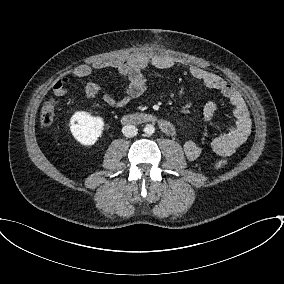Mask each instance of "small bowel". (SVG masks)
Segmentation results:
<instances>
[{"label":"small bowel","instance_id":"1","mask_svg":"<svg viewBox=\"0 0 284 284\" xmlns=\"http://www.w3.org/2000/svg\"><path fill=\"white\" fill-rule=\"evenodd\" d=\"M176 65L175 59L168 55L140 54L126 60H111L95 62L90 65H80L73 69L67 76L57 79L52 85L55 95L61 96L66 91L67 83L71 78H85L91 75L93 69L112 68L117 74L127 81L124 94L115 97L106 92L95 82H90L85 87V95L89 99L102 94L103 100L114 107L125 106L130 100L141 96L146 89V79L143 71L149 67L169 69ZM189 74L200 81L205 87L218 91L231 105L233 122L211 143L212 153L219 156H231L242 145L251 133L252 121L248 107L240 93L220 75L207 71L197 66L188 68ZM117 74L113 76L116 77ZM217 112V104L208 102L203 109V120L211 122ZM186 157L191 161L205 159L208 155L203 148L193 139H187L183 144Z\"/></svg>","mask_w":284,"mask_h":284}]
</instances>
